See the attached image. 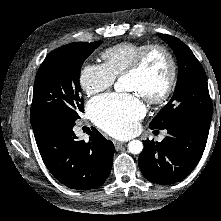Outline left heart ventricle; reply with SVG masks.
<instances>
[{"instance_id": "left-heart-ventricle-1", "label": "left heart ventricle", "mask_w": 221, "mask_h": 221, "mask_svg": "<svg viewBox=\"0 0 221 221\" xmlns=\"http://www.w3.org/2000/svg\"><path fill=\"white\" fill-rule=\"evenodd\" d=\"M167 74L166 58L162 53L154 52L140 73L124 77L125 87L141 96H155L163 90Z\"/></svg>"}]
</instances>
